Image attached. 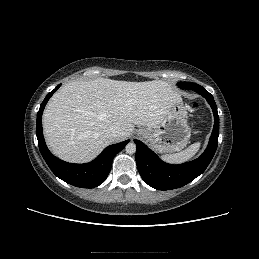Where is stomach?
Listing matches in <instances>:
<instances>
[{"label": "stomach", "instance_id": "0dacf381", "mask_svg": "<svg viewBox=\"0 0 259 259\" xmlns=\"http://www.w3.org/2000/svg\"><path fill=\"white\" fill-rule=\"evenodd\" d=\"M188 112L182 100L173 103L162 122L155 128H140L138 134L158 153H173L189 142L191 128Z\"/></svg>", "mask_w": 259, "mask_h": 259}]
</instances>
